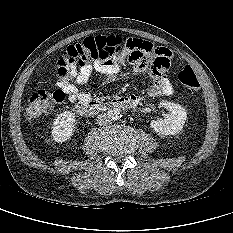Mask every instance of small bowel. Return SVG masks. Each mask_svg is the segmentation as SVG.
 <instances>
[{"label":"small bowel","mask_w":233,"mask_h":233,"mask_svg":"<svg viewBox=\"0 0 233 233\" xmlns=\"http://www.w3.org/2000/svg\"><path fill=\"white\" fill-rule=\"evenodd\" d=\"M172 57V52L165 47H154L147 41L130 38L125 43V66L135 73H147L151 76L152 83L148 94L151 97L170 95L173 86L167 76V69ZM122 69V62L114 60L110 63L95 62L71 69L67 73H58L57 85L74 105L90 101L88 92L80 89L92 78L94 72L100 74L99 83L104 84L114 80Z\"/></svg>","instance_id":"c3829d8e"}]
</instances>
